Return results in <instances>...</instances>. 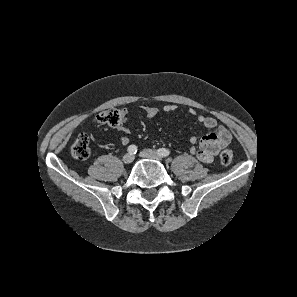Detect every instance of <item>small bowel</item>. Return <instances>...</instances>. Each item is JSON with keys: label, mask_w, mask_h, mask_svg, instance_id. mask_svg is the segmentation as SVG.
<instances>
[{"label": "small bowel", "mask_w": 297, "mask_h": 297, "mask_svg": "<svg viewBox=\"0 0 297 297\" xmlns=\"http://www.w3.org/2000/svg\"><path fill=\"white\" fill-rule=\"evenodd\" d=\"M175 110L176 106L173 104L165 105L163 108V111L166 113H171ZM121 112L122 116L125 117L127 109L124 108ZM158 113L159 109L156 107H148L145 110V114L148 118H154ZM189 114L196 116L197 120L210 130V133L203 136L198 147L195 146V138H191L190 153L195 154L205 163H211L219 151L230 143L231 135L225 128L218 126L217 120L214 117L197 114L194 109H190ZM118 129L124 133L121 137V143L127 145L129 143V128L124 124H120Z\"/></svg>", "instance_id": "1"}]
</instances>
